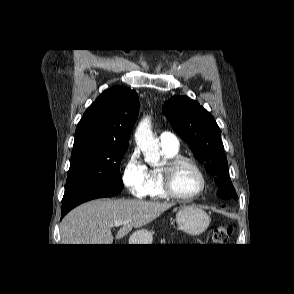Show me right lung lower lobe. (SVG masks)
<instances>
[{
    "label": "right lung lower lobe",
    "instance_id": "1",
    "mask_svg": "<svg viewBox=\"0 0 294 294\" xmlns=\"http://www.w3.org/2000/svg\"><path fill=\"white\" fill-rule=\"evenodd\" d=\"M122 189H110V190H94L80 193L70 199L62 201L61 217L63 218L70 210L79 204L102 197H111L117 195Z\"/></svg>",
    "mask_w": 294,
    "mask_h": 294
}]
</instances>
